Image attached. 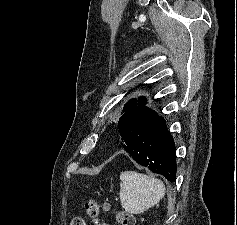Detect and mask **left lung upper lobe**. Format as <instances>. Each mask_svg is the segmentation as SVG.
I'll list each match as a JSON object with an SVG mask.
<instances>
[{
    "instance_id": "1",
    "label": "left lung upper lobe",
    "mask_w": 237,
    "mask_h": 225,
    "mask_svg": "<svg viewBox=\"0 0 237 225\" xmlns=\"http://www.w3.org/2000/svg\"><path fill=\"white\" fill-rule=\"evenodd\" d=\"M143 104H144V103H143V101H141V100H139L138 103H137V101H136L135 99H131V100L128 102V104H126V106L124 107V112H125V114H127V113L131 112L132 110H134V109H136V108H138V107H141ZM125 114H123V115L121 116V118H122ZM121 118H120V119H121ZM120 119H119V120H120Z\"/></svg>"
}]
</instances>
